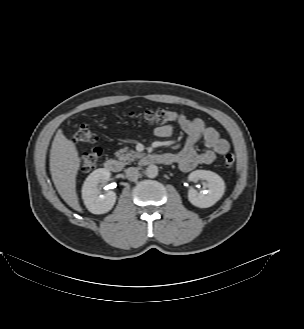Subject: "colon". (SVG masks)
Segmentation results:
<instances>
[{"instance_id":"1","label":"colon","mask_w":304,"mask_h":329,"mask_svg":"<svg viewBox=\"0 0 304 329\" xmlns=\"http://www.w3.org/2000/svg\"><path fill=\"white\" fill-rule=\"evenodd\" d=\"M125 115L131 119L140 120L148 125L160 126L167 124L168 122L178 120L181 114L174 111L158 109L147 110L143 112L129 111L125 113ZM74 140L77 143H89L94 145L90 151L82 156L80 161V170L82 172L87 173L94 170L102 155L101 147L96 145L98 138L94 130L90 126L82 124L77 128L74 134ZM234 162V155L232 153H226L224 156L225 165L230 167L234 164Z\"/></svg>"}]
</instances>
